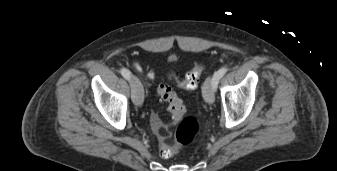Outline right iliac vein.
Instances as JSON below:
<instances>
[{
  "instance_id": "63e3f726",
  "label": "right iliac vein",
  "mask_w": 337,
  "mask_h": 171,
  "mask_svg": "<svg viewBox=\"0 0 337 171\" xmlns=\"http://www.w3.org/2000/svg\"><path fill=\"white\" fill-rule=\"evenodd\" d=\"M129 82L131 86L132 101L135 105L141 106L144 100L142 84L139 79L134 75L130 76Z\"/></svg>"
}]
</instances>
